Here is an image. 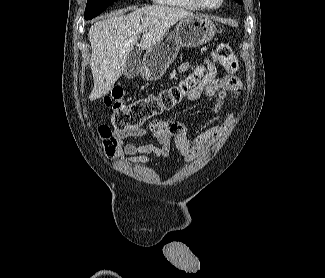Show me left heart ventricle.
Wrapping results in <instances>:
<instances>
[{
	"label": "left heart ventricle",
	"instance_id": "1",
	"mask_svg": "<svg viewBox=\"0 0 325 278\" xmlns=\"http://www.w3.org/2000/svg\"><path fill=\"white\" fill-rule=\"evenodd\" d=\"M206 5L215 6L219 3L220 0H203Z\"/></svg>",
	"mask_w": 325,
	"mask_h": 278
}]
</instances>
